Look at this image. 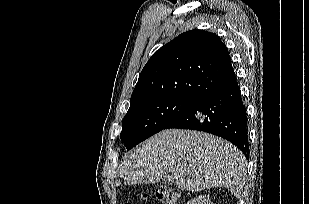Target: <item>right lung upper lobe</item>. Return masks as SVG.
I'll use <instances>...</instances> for the list:
<instances>
[{
  "label": "right lung upper lobe",
  "instance_id": "obj_1",
  "mask_svg": "<svg viewBox=\"0 0 309 204\" xmlns=\"http://www.w3.org/2000/svg\"><path fill=\"white\" fill-rule=\"evenodd\" d=\"M235 80L221 39L215 33L191 30L152 55L140 73L130 105L158 97L200 99Z\"/></svg>",
  "mask_w": 309,
  "mask_h": 204
}]
</instances>
